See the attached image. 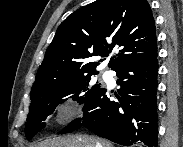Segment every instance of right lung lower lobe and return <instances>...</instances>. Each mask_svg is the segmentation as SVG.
<instances>
[{
	"mask_svg": "<svg viewBox=\"0 0 183 147\" xmlns=\"http://www.w3.org/2000/svg\"><path fill=\"white\" fill-rule=\"evenodd\" d=\"M119 80V102L111 101L106 89L100 88L83 107L84 115L58 134L86 127L112 142L130 146L143 142L157 146V54L131 60L115 70Z\"/></svg>",
	"mask_w": 183,
	"mask_h": 147,
	"instance_id": "98d812e1",
	"label": "right lung lower lobe"
}]
</instances>
